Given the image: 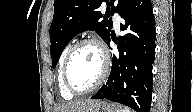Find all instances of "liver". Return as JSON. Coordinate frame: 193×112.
Wrapping results in <instances>:
<instances>
[{"instance_id":"6515ba94","label":"liver","mask_w":193,"mask_h":112,"mask_svg":"<svg viewBox=\"0 0 193 112\" xmlns=\"http://www.w3.org/2000/svg\"><path fill=\"white\" fill-rule=\"evenodd\" d=\"M95 100H78L64 103L56 108V112H82L88 109Z\"/></svg>"}]
</instances>
